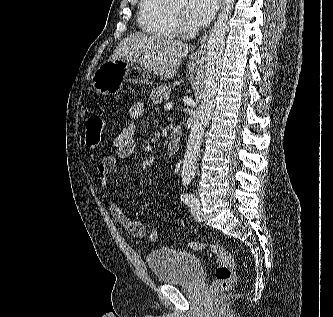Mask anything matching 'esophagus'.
<instances>
[{
    "mask_svg": "<svg viewBox=\"0 0 333 317\" xmlns=\"http://www.w3.org/2000/svg\"><path fill=\"white\" fill-rule=\"evenodd\" d=\"M219 4L221 6L222 0H219ZM207 38H208V33L204 35L202 40L200 41V44L196 48V50L193 52V58L198 60L204 57L205 51H206V44H207Z\"/></svg>",
    "mask_w": 333,
    "mask_h": 317,
    "instance_id": "1",
    "label": "esophagus"
}]
</instances>
